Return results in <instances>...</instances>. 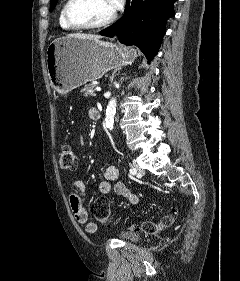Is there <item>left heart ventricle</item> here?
<instances>
[{"label": "left heart ventricle", "instance_id": "b2bd125f", "mask_svg": "<svg viewBox=\"0 0 240 281\" xmlns=\"http://www.w3.org/2000/svg\"><path fill=\"white\" fill-rule=\"evenodd\" d=\"M113 12L109 0H75L70 10L73 19L80 23H97Z\"/></svg>", "mask_w": 240, "mask_h": 281}]
</instances>
